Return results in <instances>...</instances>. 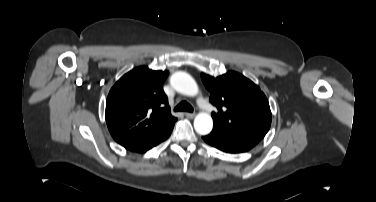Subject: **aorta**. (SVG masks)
<instances>
[{
  "label": "aorta",
  "instance_id": "762f6f07",
  "mask_svg": "<svg viewBox=\"0 0 376 202\" xmlns=\"http://www.w3.org/2000/svg\"><path fill=\"white\" fill-rule=\"evenodd\" d=\"M171 86L179 93L187 96H195L199 88L195 80L186 72H176L170 78ZM195 131L200 135H207L213 128L212 117L207 113H199L194 119Z\"/></svg>",
  "mask_w": 376,
  "mask_h": 202
}]
</instances>
